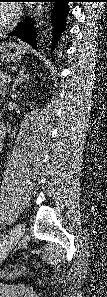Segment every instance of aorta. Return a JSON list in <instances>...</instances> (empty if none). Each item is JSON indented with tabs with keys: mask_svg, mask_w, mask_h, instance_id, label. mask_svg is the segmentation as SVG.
<instances>
[{
	"mask_svg": "<svg viewBox=\"0 0 107 297\" xmlns=\"http://www.w3.org/2000/svg\"><path fill=\"white\" fill-rule=\"evenodd\" d=\"M45 6L44 3H39L35 10H34V22H35V26L38 27V22L40 21V19L42 18L44 12H45Z\"/></svg>",
	"mask_w": 107,
	"mask_h": 297,
	"instance_id": "obj_1",
	"label": "aorta"
}]
</instances>
